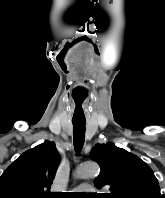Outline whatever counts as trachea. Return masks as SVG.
<instances>
[{
    "label": "trachea",
    "instance_id": "obj_1",
    "mask_svg": "<svg viewBox=\"0 0 165 198\" xmlns=\"http://www.w3.org/2000/svg\"><path fill=\"white\" fill-rule=\"evenodd\" d=\"M73 123V141L77 151H80L85 140V122L72 121Z\"/></svg>",
    "mask_w": 165,
    "mask_h": 198
}]
</instances>
